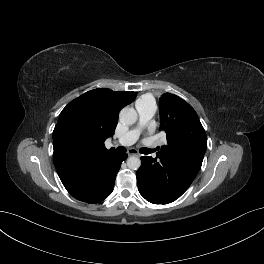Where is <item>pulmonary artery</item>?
<instances>
[{"mask_svg": "<svg viewBox=\"0 0 264 264\" xmlns=\"http://www.w3.org/2000/svg\"><path fill=\"white\" fill-rule=\"evenodd\" d=\"M136 109L139 115L137 126L121 136L116 141V144L121 146H130L134 144L139 137L141 129L144 128L148 121L153 117L156 111V106L148 103L137 104Z\"/></svg>", "mask_w": 264, "mask_h": 264, "instance_id": "e3ab8cb5", "label": "pulmonary artery"}]
</instances>
